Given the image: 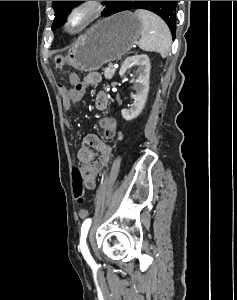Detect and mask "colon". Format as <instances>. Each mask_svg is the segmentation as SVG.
I'll list each match as a JSON object with an SVG mask.
<instances>
[{"label": "colon", "instance_id": "1", "mask_svg": "<svg viewBox=\"0 0 237 300\" xmlns=\"http://www.w3.org/2000/svg\"><path fill=\"white\" fill-rule=\"evenodd\" d=\"M73 90L78 96H83L85 86L82 83H78L73 86ZM73 179V192L78 203L84 201V178L81 171L78 168H74L72 171Z\"/></svg>", "mask_w": 237, "mask_h": 300}]
</instances>
